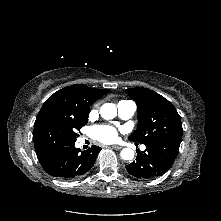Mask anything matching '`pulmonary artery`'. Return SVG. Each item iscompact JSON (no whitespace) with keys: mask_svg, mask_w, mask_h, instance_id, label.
<instances>
[{"mask_svg":"<svg viewBox=\"0 0 221 221\" xmlns=\"http://www.w3.org/2000/svg\"><path fill=\"white\" fill-rule=\"evenodd\" d=\"M117 110H118L119 117L124 120H127V119H130L134 115L136 111V104L130 100H123L117 104ZM141 149L144 150L145 146L142 145Z\"/></svg>","mask_w":221,"mask_h":221,"instance_id":"pulmonary-artery-1","label":"pulmonary artery"}]
</instances>
